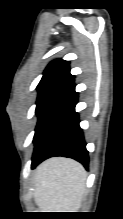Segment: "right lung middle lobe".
<instances>
[{
  "instance_id": "1",
  "label": "right lung middle lobe",
  "mask_w": 123,
  "mask_h": 219,
  "mask_svg": "<svg viewBox=\"0 0 123 219\" xmlns=\"http://www.w3.org/2000/svg\"><path fill=\"white\" fill-rule=\"evenodd\" d=\"M70 84V82H53L37 87L38 98L36 103V114L38 116V123L35 129L34 142H36L41 132L43 122L50 109L65 93Z\"/></svg>"
}]
</instances>
